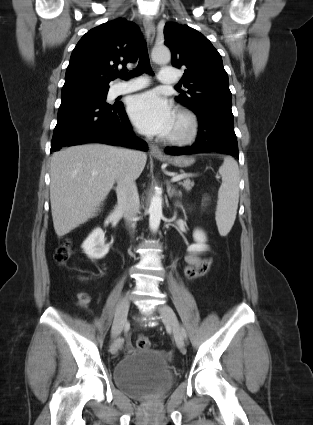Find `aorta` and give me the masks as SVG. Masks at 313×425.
Segmentation results:
<instances>
[{"label":"aorta","mask_w":313,"mask_h":425,"mask_svg":"<svg viewBox=\"0 0 313 425\" xmlns=\"http://www.w3.org/2000/svg\"><path fill=\"white\" fill-rule=\"evenodd\" d=\"M152 59L156 63H168L171 59V52L165 46L154 47L152 50ZM149 215L150 228L153 232H156L162 217V191L160 188L155 189V194L151 198Z\"/></svg>","instance_id":"aorta-1"}]
</instances>
